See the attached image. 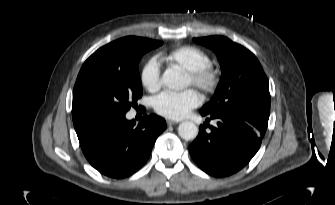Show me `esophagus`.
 I'll return each mask as SVG.
<instances>
[{"label": "esophagus", "mask_w": 335, "mask_h": 205, "mask_svg": "<svg viewBox=\"0 0 335 205\" xmlns=\"http://www.w3.org/2000/svg\"><path fill=\"white\" fill-rule=\"evenodd\" d=\"M166 122L168 126L175 125L178 123V121H174V120H167Z\"/></svg>", "instance_id": "1"}]
</instances>
